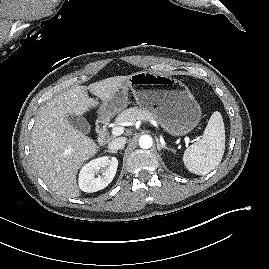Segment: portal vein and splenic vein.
Instances as JSON below:
<instances>
[{
	"label": "portal vein and splenic vein",
	"mask_w": 269,
	"mask_h": 269,
	"mask_svg": "<svg viewBox=\"0 0 269 269\" xmlns=\"http://www.w3.org/2000/svg\"><path fill=\"white\" fill-rule=\"evenodd\" d=\"M123 132H124V128L121 127V126L114 127V128L112 129V131H111V133H112L113 136H119V135H121ZM185 142L188 143V144L190 143V139H189V137H185Z\"/></svg>",
	"instance_id": "obj_1"
}]
</instances>
